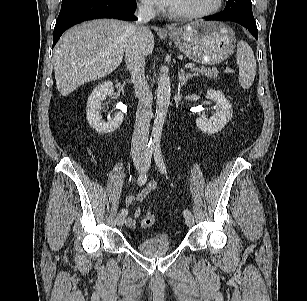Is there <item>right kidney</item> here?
Masks as SVG:
<instances>
[{"label": "right kidney", "instance_id": "ca27d5eb", "mask_svg": "<svg viewBox=\"0 0 307 301\" xmlns=\"http://www.w3.org/2000/svg\"><path fill=\"white\" fill-rule=\"evenodd\" d=\"M113 93V83L111 81H105L95 87L88 98L86 107L87 121L98 133L107 134L114 132L124 120V116L120 112L114 118L108 119L107 122L102 119L100 114L101 104L106 96H112Z\"/></svg>", "mask_w": 307, "mask_h": 301}]
</instances>
